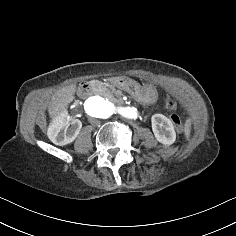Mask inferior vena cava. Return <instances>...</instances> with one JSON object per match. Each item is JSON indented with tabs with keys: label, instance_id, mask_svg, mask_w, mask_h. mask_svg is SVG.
I'll list each match as a JSON object with an SVG mask.
<instances>
[{
	"label": "inferior vena cava",
	"instance_id": "obj_1",
	"mask_svg": "<svg viewBox=\"0 0 236 236\" xmlns=\"http://www.w3.org/2000/svg\"><path fill=\"white\" fill-rule=\"evenodd\" d=\"M89 122L93 125V126H99L100 125V120L95 119L94 117H89Z\"/></svg>",
	"mask_w": 236,
	"mask_h": 236
}]
</instances>
